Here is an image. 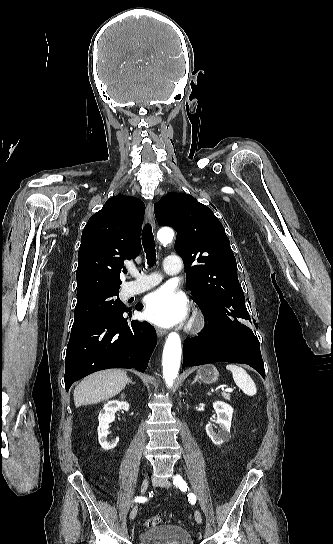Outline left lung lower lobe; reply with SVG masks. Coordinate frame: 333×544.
Masks as SVG:
<instances>
[{
    "instance_id": "obj_1",
    "label": "left lung lower lobe",
    "mask_w": 333,
    "mask_h": 544,
    "mask_svg": "<svg viewBox=\"0 0 333 544\" xmlns=\"http://www.w3.org/2000/svg\"><path fill=\"white\" fill-rule=\"evenodd\" d=\"M212 362L245 363L265 378L259 343L253 332L237 322L209 319L206 330L183 344V368Z\"/></svg>"
}]
</instances>
